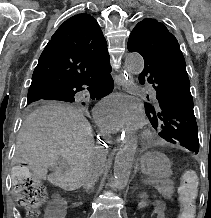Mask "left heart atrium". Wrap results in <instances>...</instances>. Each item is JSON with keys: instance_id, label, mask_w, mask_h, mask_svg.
Returning a JSON list of instances; mask_svg holds the SVG:
<instances>
[{"instance_id": "1", "label": "left heart atrium", "mask_w": 211, "mask_h": 218, "mask_svg": "<svg viewBox=\"0 0 211 218\" xmlns=\"http://www.w3.org/2000/svg\"><path fill=\"white\" fill-rule=\"evenodd\" d=\"M95 117L98 124L107 132L137 127L141 120L139 112L121 99L100 103Z\"/></svg>"}]
</instances>
